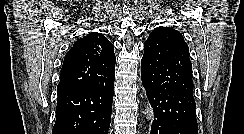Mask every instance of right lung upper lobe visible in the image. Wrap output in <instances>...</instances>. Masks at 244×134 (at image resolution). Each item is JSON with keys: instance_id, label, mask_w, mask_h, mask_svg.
Returning a JSON list of instances; mask_svg holds the SVG:
<instances>
[{"instance_id": "obj_1", "label": "right lung upper lobe", "mask_w": 244, "mask_h": 134, "mask_svg": "<svg viewBox=\"0 0 244 134\" xmlns=\"http://www.w3.org/2000/svg\"><path fill=\"white\" fill-rule=\"evenodd\" d=\"M113 44L100 33L77 40L65 55L57 91L100 84L115 75Z\"/></svg>"}]
</instances>
